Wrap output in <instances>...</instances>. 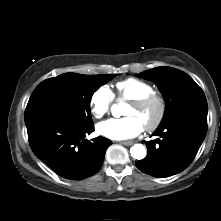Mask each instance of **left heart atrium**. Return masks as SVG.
I'll return each mask as SVG.
<instances>
[{"instance_id": "left-heart-atrium-1", "label": "left heart atrium", "mask_w": 221, "mask_h": 221, "mask_svg": "<svg viewBox=\"0 0 221 221\" xmlns=\"http://www.w3.org/2000/svg\"><path fill=\"white\" fill-rule=\"evenodd\" d=\"M144 126L134 116L124 118H111L100 122L97 125V132L109 139L126 140L133 138L141 133Z\"/></svg>"}]
</instances>
